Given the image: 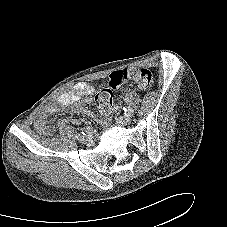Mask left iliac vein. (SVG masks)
Segmentation results:
<instances>
[{
  "label": "left iliac vein",
  "instance_id": "left-iliac-vein-1",
  "mask_svg": "<svg viewBox=\"0 0 227 227\" xmlns=\"http://www.w3.org/2000/svg\"><path fill=\"white\" fill-rule=\"evenodd\" d=\"M117 123L120 125H127L131 122L132 118L131 115L120 116L117 119Z\"/></svg>",
  "mask_w": 227,
  "mask_h": 227
}]
</instances>
